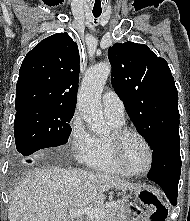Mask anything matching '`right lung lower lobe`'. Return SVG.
I'll return each instance as SVG.
<instances>
[{
	"label": "right lung lower lobe",
	"instance_id": "1",
	"mask_svg": "<svg viewBox=\"0 0 190 221\" xmlns=\"http://www.w3.org/2000/svg\"><path fill=\"white\" fill-rule=\"evenodd\" d=\"M39 154H40V152H38V153H36V154H33V155H31V156L25 157L24 159H25L27 162H31V159H32L33 157L38 156Z\"/></svg>",
	"mask_w": 190,
	"mask_h": 221
}]
</instances>
